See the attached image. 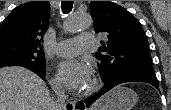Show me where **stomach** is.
<instances>
[{"instance_id": "obj_1", "label": "stomach", "mask_w": 171, "mask_h": 110, "mask_svg": "<svg viewBox=\"0 0 171 110\" xmlns=\"http://www.w3.org/2000/svg\"><path fill=\"white\" fill-rule=\"evenodd\" d=\"M102 99V106L98 110H132L137 103V94L126 87H116Z\"/></svg>"}]
</instances>
